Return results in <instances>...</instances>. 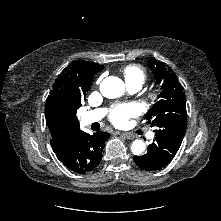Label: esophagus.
Segmentation results:
<instances>
[{
    "instance_id": "34e87169",
    "label": "esophagus",
    "mask_w": 221,
    "mask_h": 221,
    "mask_svg": "<svg viewBox=\"0 0 221 221\" xmlns=\"http://www.w3.org/2000/svg\"><path fill=\"white\" fill-rule=\"evenodd\" d=\"M118 134H120L122 137H124L126 139H133L134 138V136L130 133H119L118 132Z\"/></svg>"
}]
</instances>
